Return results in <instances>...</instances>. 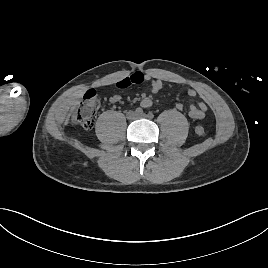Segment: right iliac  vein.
<instances>
[{
  "label": "right iliac vein",
  "instance_id": "right-iliac-vein-1",
  "mask_svg": "<svg viewBox=\"0 0 268 268\" xmlns=\"http://www.w3.org/2000/svg\"><path fill=\"white\" fill-rule=\"evenodd\" d=\"M126 116L129 120H135L137 118V113L134 111H128Z\"/></svg>",
  "mask_w": 268,
  "mask_h": 268
}]
</instances>
